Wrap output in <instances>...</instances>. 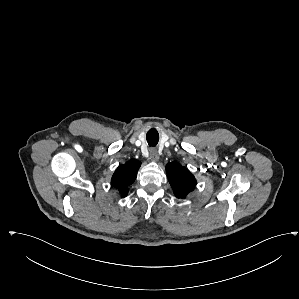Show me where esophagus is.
<instances>
[{
    "label": "esophagus",
    "instance_id": "esophagus-1",
    "mask_svg": "<svg viewBox=\"0 0 299 299\" xmlns=\"http://www.w3.org/2000/svg\"><path fill=\"white\" fill-rule=\"evenodd\" d=\"M149 151H150V157H151V159L153 161H158L159 155H158L157 149L151 148Z\"/></svg>",
    "mask_w": 299,
    "mask_h": 299
}]
</instances>
